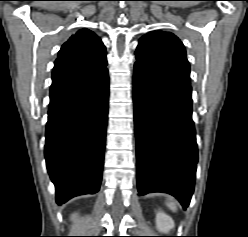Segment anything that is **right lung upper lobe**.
<instances>
[{
    "label": "right lung upper lobe",
    "mask_w": 248,
    "mask_h": 237,
    "mask_svg": "<svg viewBox=\"0 0 248 237\" xmlns=\"http://www.w3.org/2000/svg\"><path fill=\"white\" fill-rule=\"evenodd\" d=\"M106 65V48L101 39L88 29H81L61 47L52 80L82 76Z\"/></svg>",
    "instance_id": "obj_1"
}]
</instances>
